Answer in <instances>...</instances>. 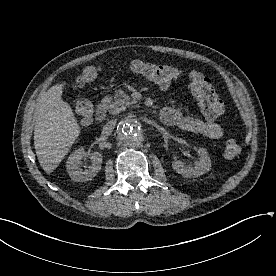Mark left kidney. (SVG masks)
Segmentation results:
<instances>
[{
  "label": "left kidney",
  "mask_w": 276,
  "mask_h": 276,
  "mask_svg": "<svg viewBox=\"0 0 276 276\" xmlns=\"http://www.w3.org/2000/svg\"><path fill=\"white\" fill-rule=\"evenodd\" d=\"M199 160L194 163V166H186L181 161H174L172 163L173 169L181 174L183 177L192 178L199 177L211 169V160L205 148L197 150Z\"/></svg>",
  "instance_id": "1"
}]
</instances>
